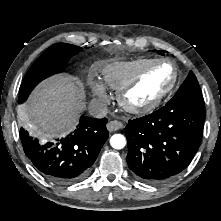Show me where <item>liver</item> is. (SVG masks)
<instances>
[{
  "label": "liver",
  "mask_w": 221,
  "mask_h": 221,
  "mask_svg": "<svg viewBox=\"0 0 221 221\" xmlns=\"http://www.w3.org/2000/svg\"><path fill=\"white\" fill-rule=\"evenodd\" d=\"M84 88L70 75H57L43 81L21 107L20 115L32 133L51 137L70 132L85 107Z\"/></svg>",
  "instance_id": "liver-1"
}]
</instances>
